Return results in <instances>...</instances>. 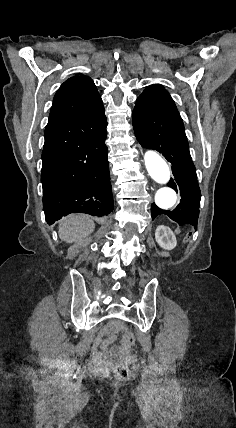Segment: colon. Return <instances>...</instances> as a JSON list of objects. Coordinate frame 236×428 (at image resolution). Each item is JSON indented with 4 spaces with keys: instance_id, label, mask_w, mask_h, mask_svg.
<instances>
[{
    "instance_id": "colon-1",
    "label": "colon",
    "mask_w": 236,
    "mask_h": 428,
    "mask_svg": "<svg viewBox=\"0 0 236 428\" xmlns=\"http://www.w3.org/2000/svg\"><path fill=\"white\" fill-rule=\"evenodd\" d=\"M123 343L126 348H131L135 344V337L131 332H127L123 336ZM115 377L120 381H125L130 377L129 367L125 363H118L114 367Z\"/></svg>"
}]
</instances>
